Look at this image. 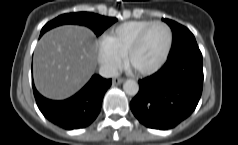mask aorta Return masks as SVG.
<instances>
[{
    "instance_id": "aorta-1",
    "label": "aorta",
    "mask_w": 238,
    "mask_h": 145,
    "mask_svg": "<svg viewBox=\"0 0 238 145\" xmlns=\"http://www.w3.org/2000/svg\"><path fill=\"white\" fill-rule=\"evenodd\" d=\"M123 89L127 95L135 96L139 91V85L135 80L128 79L124 82Z\"/></svg>"
}]
</instances>
